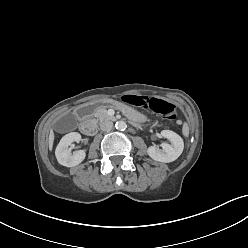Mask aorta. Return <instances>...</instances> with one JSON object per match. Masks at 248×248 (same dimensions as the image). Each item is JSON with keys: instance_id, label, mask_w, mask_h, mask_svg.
I'll use <instances>...</instances> for the list:
<instances>
[{"instance_id": "1", "label": "aorta", "mask_w": 248, "mask_h": 248, "mask_svg": "<svg viewBox=\"0 0 248 248\" xmlns=\"http://www.w3.org/2000/svg\"><path fill=\"white\" fill-rule=\"evenodd\" d=\"M115 127L117 130L124 131L127 128V124L124 121H117Z\"/></svg>"}]
</instances>
